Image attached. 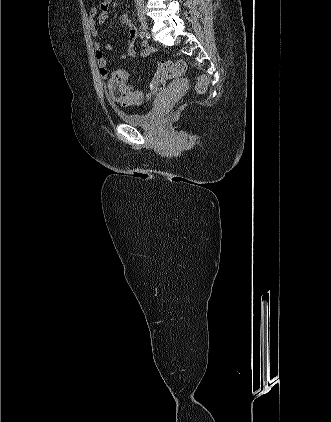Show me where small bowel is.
<instances>
[{"label": "small bowel", "instance_id": "obj_1", "mask_svg": "<svg viewBox=\"0 0 331 422\" xmlns=\"http://www.w3.org/2000/svg\"><path fill=\"white\" fill-rule=\"evenodd\" d=\"M112 0H98L97 5L93 6L90 9L88 15V25L93 37L98 36L97 26H102L106 23L108 19L109 8ZM121 23L126 27L127 35V50L121 54L122 59L134 58L137 56V52L134 49V42L137 37V28L128 12L124 13L120 18ZM113 49L112 44L107 43L102 45L100 42L96 41L94 43V50L96 55V61L99 69L100 76L109 81L110 73L107 66V59L105 57V51H111ZM151 53V47L146 41H142L140 45L139 55L141 57H147ZM162 86L161 81L153 82L151 87L153 90H157ZM124 105H130V101L122 102Z\"/></svg>", "mask_w": 331, "mask_h": 422}]
</instances>
